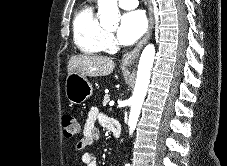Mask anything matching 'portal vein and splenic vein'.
<instances>
[{
  "mask_svg": "<svg viewBox=\"0 0 227 166\" xmlns=\"http://www.w3.org/2000/svg\"><path fill=\"white\" fill-rule=\"evenodd\" d=\"M109 105H110V106H113V105H114V102H110Z\"/></svg>",
  "mask_w": 227,
  "mask_h": 166,
  "instance_id": "portal-vein-and-splenic-vein-1",
  "label": "portal vein and splenic vein"
}]
</instances>
